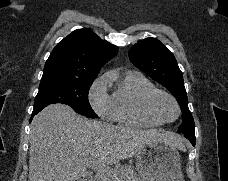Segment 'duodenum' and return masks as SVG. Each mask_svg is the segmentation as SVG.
I'll list each match as a JSON object with an SVG mask.
<instances>
[{"label": "duodenum", "instance_id": "410a0bca", "mask_svg": "<svg viewBox=\"0 0 228 181\" xmlns=\"http://www.w3.org/2000/svg\"><path fill=\"white\" fill-rule=\"evenodd\" d=\"M83 178H84V179H89V178H90V175H89V174H84V175H83ZM90 181H91V180H90Z\"/></svg>", "mask_w": 228, "mask_h": 181}]
</instances>
